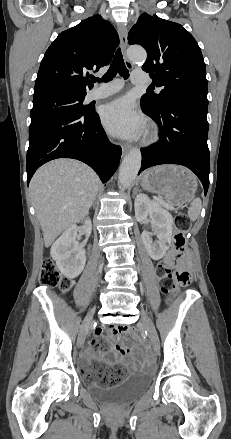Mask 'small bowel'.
<instances>
[{
    "label": "small bowel",
    "mask_w": 231,
    "mask_h": 439,
    "mask_svg": "<svg viewBox=\"0 0 231 439\" xmlns=\"http://www.w3.org/2000/svg\"><path fill=\"white\" fill-rule=\"evenodd\" d=\"M118 335L119 333L115 329L97 328L91 344L86 351V359L95 366V370L97 369L95 363L101 361L104 362L108 368L115 364H121L128 367L133 373H137L138 369L134 361L133 352L128 346L121 345L116 341ZM103 337L107 338L112 344L110 355H97L95 352L96 345L94 343Z\"/></svg>",
    "instance_id": "1"
}]
</instances>
